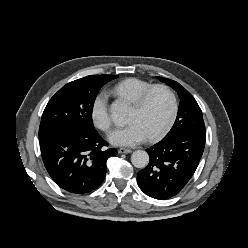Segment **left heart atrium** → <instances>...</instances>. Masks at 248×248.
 Returning <instances> with one entry per match:
<instances>
[{
  "instance_id": "1",
  "label": "left heart atrium",
  "mask_w": 248,
  "mask_h": 248,
  "mask_svg": "<svg viewBox=\"0 0 248 248\" xmlns=\"http://www.w3.org/2000/svg\"><path fill=\"white\" fill-rule=\"evenodd\" d=\"M148 137L137 122H132L112 131L109 134V141L117 146H135L145 142Z\"/></svg>"
}]
</instances>
